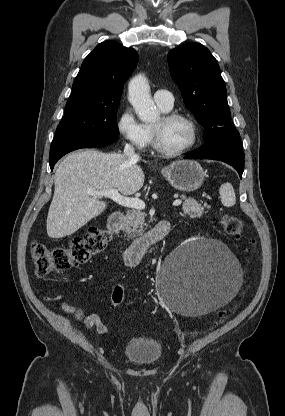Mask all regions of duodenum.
<instances>
[{"label":"duodenum","instance_id":"duodenum-1","mask_svg":"<svg viewBox=\"0 0 285 416\" xmlns=\"http://www.w3.org/2000/svg\"><path fill=\"white\" fill-rule=\"evenodd\" d=\"M123 214L120 211L113 212L107 221V231L113 239L121 237V222ZM171 227L168 221H159L145 236L129 245L120 244L118 252L122 265L126 269H133L151 248L159 246L170 234Z\"/></svg>","mask_w":285,"mask_h":416}]
</instances>
